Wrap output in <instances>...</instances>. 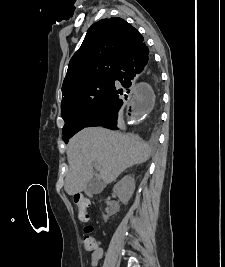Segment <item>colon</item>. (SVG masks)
Segmentation results:
<instances>
[{"instance_id": "obj_1", "label": "colon", "mask_w": 225, "mask_h": 267, "mask_svg": "<svg viewBox=\"0 0 225 267\" xmlns=\"http://www.w3.org/2000/svg\"><path fill=\"white\" fill-rule=\"evenodd\" d=\"M76 204L78 205V208H79L78 217H79L80 221H82L83 223H88L90 220V216L86 210V208L88 206L87 200L83 197H77ZM84 233H85V235H84V238L82 241L84 249L87 251L93 250L96 246L95 238L92 235L93 226L90 224H87L84 227Z\"/></svg>"}]
</instances>
